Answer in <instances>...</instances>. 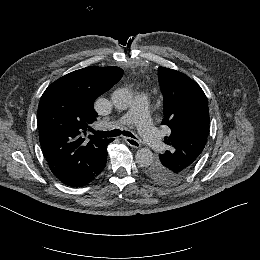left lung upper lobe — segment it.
I'll list each match as a JSON object with an SVG mask.
<instances>
[{"label":"left lung upper lobe","mask_w":260,"mask_h":260,"mask_svg":"<svg viewBox=\"0 0 260 260\" xmlns=\"http://www.w3.org/2000/svg\"><path fill=\"white\" fill-rule=\"evenodd\" d=\"M158 79L164 96L162 124L171 129L164 139L171 150L160 154V161L149 165L146 173L156 181L174 183L194 168L205 147L208 102L200 86L181 72L159 67Z\"/></svg>","instance_id":"left-lung-upper-lobe-1"}]
</instances>
